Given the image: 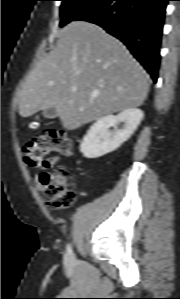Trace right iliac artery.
<instances>
[{
  "instance_id": "obj_1",
  "label": "right iliac artery",
  "mask_w": 180,
  "mask_h": 299,
  "mask_svg": "<svg viewBox=\"0 0 180 299\" xmlns=\"http://www.w3.org/2000/svg\"><path fill=\"white\" fill-rule=\"evenodd\" d=\"M66 252H67V255H68V256H71V255L73 254V252H72V248H71V244H68V245H67Z\"/></svg>"
}]
</instances>
